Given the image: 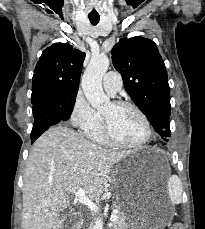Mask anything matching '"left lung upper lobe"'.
I'll list each match as a JSON object with an SVG mask.
<instances>
[{
  "label": "left lung upper lobe",
  "mask_w": 205,
  "mask_h": 229,
  "mask_svg": "<svg viewBox=\"0 0 205 229\" xmlns=\"http://www.w3.org/2000/svg\"><path fill=\"white\" fill-rule=\"evenodd\" d=\"M112 62L123 77L127 93L155 131L170 137L168 77L156 44L140 36L121 39L112 49Z\"/></svg>",
  "instance_id": "5c2ea615"
}]
</instances>
